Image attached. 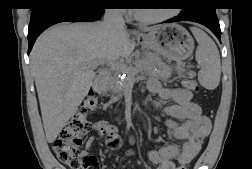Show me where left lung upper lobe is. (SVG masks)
<instances>
[{"label":"left lung upper lobe","mask_w":252,"mask_h":169,"mask_svg":"<svg viewBox=\"0 0 252 169\" xmlns=\"http://www.w3.org/2000/svg\"><path fill=\"white\" fill-rule=\"evenodd\" d=\"M186 8H183V11L180 15L188 16L196 13L203 12H215L214 0H187Z\"/></svg>","instance_id":"5c2ea615"}]
</instances>
